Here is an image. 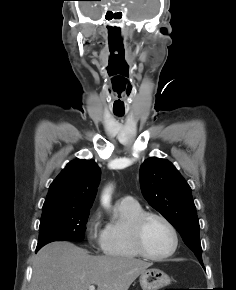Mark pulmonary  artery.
<instances>
[{"label": "pulmonary artery", "mask_w": 236, "mask_h": 290, "mask_svg": "<svg viewBox=\"0 0 236 290\" xmlns=\"http://www.w3.org/2000/svg\"><path fill=\"white\" fill-rule=\"evenodd\" d=\"M121 202L124 203H133L135 202L134 198L132 196H125L121 199Z\"/></svg>", "instance_id": "1"}]
</instances>
